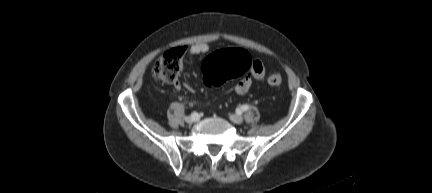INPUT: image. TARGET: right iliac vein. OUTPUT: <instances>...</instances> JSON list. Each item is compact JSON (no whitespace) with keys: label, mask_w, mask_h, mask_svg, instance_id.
<instances>
[{"label":"right iliac vein","mask_w":432,"mask_h":193,"mask_svg":"<svg viewBox=\"0 0 432 193\" xmlns=\"http://www.w3.org/2000/svg\"><path fill=\"white\" fill-rule=\"evenodd\" d=\"M198 120H199V115H198V114H196L195 117L188 116V117L185 118V121H186L188 124H192L193 122H196V121H198Z\"/></svg>","instance_id":"63e3f726"}]
</instances>
